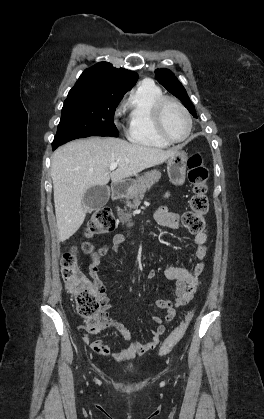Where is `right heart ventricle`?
I'll return each instance as SVG.
<instances>
[{
    "label": "right heart ventricle",
    "instance_id": "obj_1",
    "mask_svg": "<svg viewBox=\"0 0 264 419\" xmlns=\"http://www.w3.org/2000/svg\"><path fill=\"white\" fill-rule=\"evenodd\" d=\"M163 96L162 90L151 81H143L130 93L125 109L128 112V139L138 145L165 148L169 143L156 133L153 121L155 102Z\"/></svg>",
    "mask_w": 264,
    "mask_h": 419
}]
</instances>
